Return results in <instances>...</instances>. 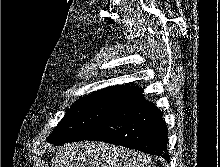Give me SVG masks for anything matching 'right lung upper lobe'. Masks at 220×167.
Here are the masks:
<instances>
[{"label": "right lung upper lobe", "instance_id": "1", "mask_svg": "<svg viewBox=\"0 0 220 167\" xmlns=\"http://www.w3.org/2000/svg\"><path fill=\"white\" fill-rule=\"evenodd\" d=\"M139 87H134V86H111L107 87L105 89H102L100 91H97L88 97H83L81 99H88V98H106V99H113L116 100L117 98L128 94L130 92H133L135 90H138ZM79 99V100H81Z\"/></svg>", "mask_w": 220, "mask_h": 167}]
</instances>
